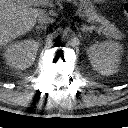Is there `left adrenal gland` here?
<instances>
[{
    "mask_svg": "<svg viewBox=\"0 0 128 128\" xmlns=\"http://www.w3.org/2000/svg\"><path fill=\"white\" fill-rule=\"evenodd\" d=\"M92 29H93L92 27H88L87 25H83L81 28V31L82 32H88L89 31L91 33Z\"/></svg>",
    "mask_w": 128,
    "mask_h": 128,
    "instance_id": "obj_1",
    "label": "left adrenal gland"
}]
</instances>
